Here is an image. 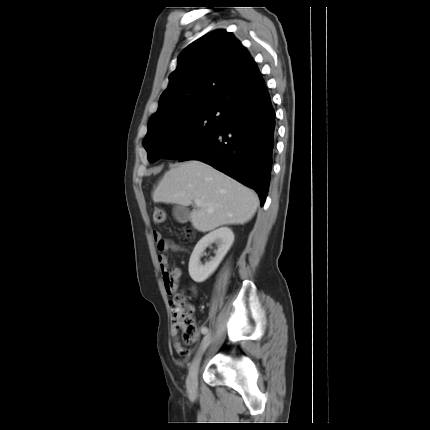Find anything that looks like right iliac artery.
Returning <instances> with one entry per match:
<instances>
[{
	"label": "right iliac artery",
	"instance_id": "right-iliac-artery-1",
	"mask_svg": "<svg viewBox=\"0 0 430 430\" xmlns=\"http://www.w3.org/2000/svg\"><path fill=\"white\" fill-rule=\"evenodd\" d=\"M207 332H208V330H202V331H201V334H202V335H207Z\"/></svg>",
	"mask_w": 430,
	"mask_h": 430
}]
</instances>
